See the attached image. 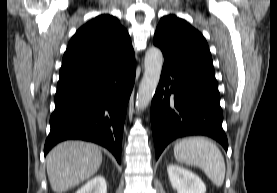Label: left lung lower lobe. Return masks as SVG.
I'll return each instance as SVG.
<instances>
[{"label":"left lung lower lobe","instance_id":"1","mask_svg":"<svg viewBox=\"0 0 277 193\" xmlns=\"http://www.w3.org/2000/svg\"><path fill=\"white\" fill-rule=\"evenodd\" d=\"M214 70L164 60L160 82L151 103V127L156 159L173 140L206 135L222 144L223 113Z\"/></svg>","mask_w":277,"mask_h":193}]
</instances>
